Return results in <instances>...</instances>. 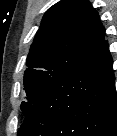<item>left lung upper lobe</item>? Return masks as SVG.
<instances>
[{
	"mask_svg": "<svg viewBox=\"0 0 117 136\" xmlns=\"http://www.w3.org/2000/svg\"><path fill=\"white\" fill-rule=\"evenodd\" d=\"M105 29L88 0H61L43 16L24 73L27 115L59 79L86 60L103 42Z\"/></svg>",
	"mask_w": 117,
	"mask_h": 136,
	"instance_id": "obj_1",
	"label": "left lung upper lobe"
}]
</instances>
